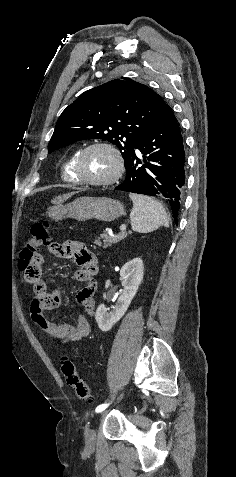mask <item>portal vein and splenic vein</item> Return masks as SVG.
<instances>
[{"label":"portal vein and splenic vein","mask_w":236,"mask_h":477,"mask_svg":"<svg viewBox=\"0 0 236 477\" xmlns=\"http://www.w3.org/2000/svg\"><path fill=\"white\" fill-rule=\"evenodd\" d=\"M125 230H126V225H124V224L121 225V226H120V231H121V232H124Z\"/></svg>","instance_id":"1"}]
</instances>
